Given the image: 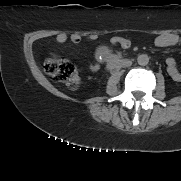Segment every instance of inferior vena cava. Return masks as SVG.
Returning a JSON list of instances; mask_svg holds the SVG:
<instances>
[{
    "label": "inferior vena cava",
    "instance_id": "obj_1",
    "mask_svg": "<svg viewBox=\"0 0 181 181\" xmlns=\"http://www.w3.org/2000/svg\"><path fill=\"white\" fill-rule=\"evenodd\" d=\"M132 65V61L126 59V60H123L122 63L120 64L121 67H129Z\"/></svg>",
    "mask_w": 181,
    "mask_h": 181
}]
</instances>
